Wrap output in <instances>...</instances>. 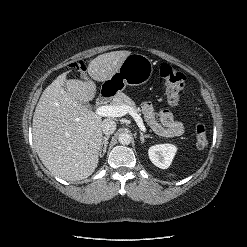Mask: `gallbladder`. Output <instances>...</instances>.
Instances as JSON below:
<instances>
[{
    "label": "gallbladder",
    "mask_w": 247,
    "mask_h": 247,
    "mask_svg": "<svg viewBox=\"0 0 247 247\" xmlns=\"http://www.w3.org/2000/svg\"><path fill=\"white\" fill-rule=\"evenodd\" d=\"M80 103H82L83 105H85L86 107H89V103L88 102H84V101H79Z\"/></svg>",
    "instance_id": "obj_1"
}]
</instances>
